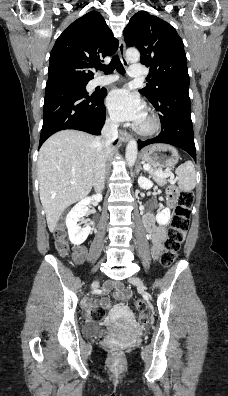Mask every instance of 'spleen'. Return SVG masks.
I'll return each mask as SVG.
<instances>
[{
	"instance_id": "3e777b00",
	"label": "spleen",
	"mask_w": 228,
	"mask_h": 396,
	"mask_svg": "<svg viewBox=\"0 0 228 396\" xmlns=\"http://www.w3.org/2000/svg\"><path fill=\"white\" fill-rule=\"evenodd\" d=\"M178 186L184 192H191L196 186V172L191 161H187L176 169Z\"/></svg>"
}]
</instances>
